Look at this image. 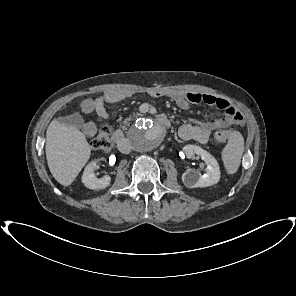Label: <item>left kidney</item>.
I'll return each mask as SVG.
<instances>
[{"instance_id": "obj_1", "label": "left kidney", "mask_w": 296, "mask_h": 296, "mask_svg": "<svg viewBox=\"0 0 296 296\" xmlns=\"http://www.w3.org/2000/svg\"><path fill=\"white\" fill-rule=\"evenodd\" d=\"M183 151L187 158H194L196 155L200 156L207 165L206 173L203 175L190 169L182 174V182L186 187H208L219 182L221 173L215 157L199 146L191 144L186 145Z\"/></svg>"}]
</instances>
